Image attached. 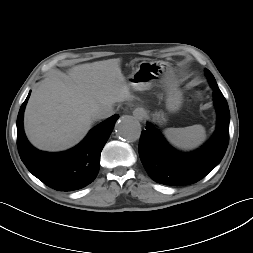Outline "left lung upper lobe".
<instances>
[{
	"mask_svg": "<svg viewBox=\"0 0 253 253\" xmlns=\"http://www.w3.org/2000/svg\"><path fill=\"white\" fill-rule=\"evenodd\" d=\"M205 73H206V76H207L208 81L210 83V86L212 88H215V87L218 88L217 83L215 81V78L213 77V75L211 74V72L208 69H205Z\"/></svg>",
	"mask_w": 253,
	"mask_h": 253,
	"instance_id": "1",
	"label": "left lung upper lobe"
}]
</instances>
